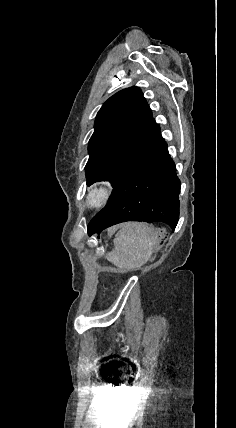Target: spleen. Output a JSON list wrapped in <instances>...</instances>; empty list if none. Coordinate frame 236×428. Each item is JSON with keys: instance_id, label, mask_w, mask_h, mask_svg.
I'll use <instances>...</instances> for the list:
<instances>
[{"instance_id": "1", "label": "spleen", "mask_w": 236, "mask_h": 428, "mask_svg": "<svg viewBox=\"0 0 236 428\" xmlns=\"http://www.w3.org/2000/svg\"><path fill=\"white\" fill-rule=\"evenodd\" d=\"M156 240V234L148 224L128 222L116 234L115 254H108L107 258L118 268H139L151 258Z\"/></svg>"}]
</instances>
